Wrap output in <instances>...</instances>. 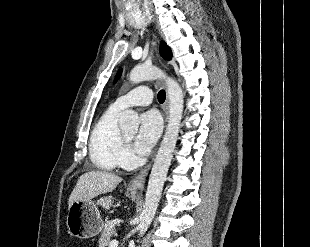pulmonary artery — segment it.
<instances>
[{
    "label": "pulmonary artery",
    "instance_id": "e3ab8cb5",
    "mask_svg": "<svg viewBox=\"0 0 310 247\" xmlns=\"http://www.w3.org/2000/svg\"><path fill=\"white\" fill-rule=\"evenodd\" d=\"M153 92L147 86H139L127 94L117 98L112 104L118 110H124L132 106H146L152 102Z\"/></svg>",
    "mask_w": 310,
    "mask_h": 247
}]
</instances>
